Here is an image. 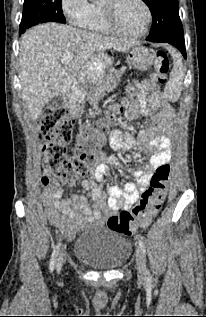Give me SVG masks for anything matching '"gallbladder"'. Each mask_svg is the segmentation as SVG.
I'll use <instances>...</instances> for the list:
<instances>
[{"instance_id":"bac80fb5","label":"gallbladder","mask_w":206,"mask_h":317,"mask_svg":"<svg viewBox=\"0 0 206 317\" xmlns=\"http://www.w3.org/2000/svg\"><path fill=\"white\" fill-rule=\"evenodd\" d=\"M65 102V97L63 94H59L54 96L53 98H51L48 102V105L53 108V109H57L59 107H61Z\"/></svg>"}]
</instances>
